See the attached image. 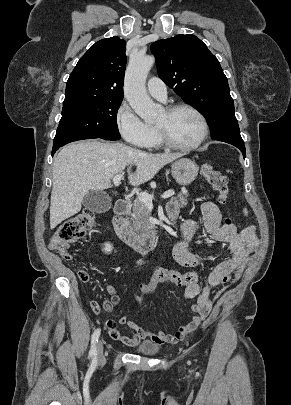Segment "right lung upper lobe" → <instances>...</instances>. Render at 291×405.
Returning <instances> with one entry per match:
<instances>
[{"label":"right lung upper lobe","mask_w":291,"mask_h":405,"mask_svg":"<svg viewBox=\"0 0 291 405\" xmlns=\"http://www.w3.org/2000/svg\"><path fill=\"white\" fill-rule=\"evenodd\" d=\"M126 42L117 36L96 42L80 58L67 81L63 103L123 98Z\"/></svg>","instance_id":"cb5924a9"}]
</instances>
